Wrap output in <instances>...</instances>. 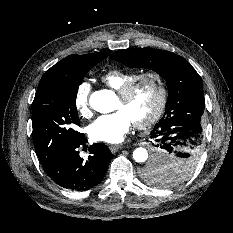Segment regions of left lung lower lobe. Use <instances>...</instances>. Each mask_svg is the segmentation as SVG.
<instances>
[{"label": "left lung lower lobe", "mask_w": 233, "mask_h": 233, "mask_svg": "<svg viewBox=\"0 0 233 233\" xmlns=\"http://www.w3.org/2000/svg\"><path fill=\"white\" fill-rule=\"evenodd\" d=\"M157 148L152 163L165 164L174 157L200 155L202 151V127L194 116L177 117L156 124L150 133Z\"/></svg>", "instance_id": "obj_1"}]
</instances>
